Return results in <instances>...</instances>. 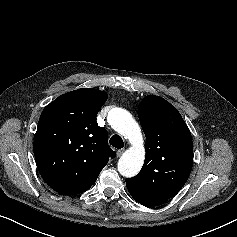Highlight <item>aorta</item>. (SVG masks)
Here are the masks:
<instances>
[{
  "instance_id": "1",
  "label": "aorta",
  "mask_w": 237,
  "mask_h": 237,
  "mask_svg": "<svg viewBox=\"0 0 237 237\" xmlns=\"http://www.w3.org/2000/svg\"><path fill=\"white\" fill-rule=\"evenodd\" d=\"M107 120L111 127L132 145L120 157L118 171L124 177H133L141 170L145 158L140 127L127 110L119 107L112 108L108 112Z\"/></svg>"
}]
</instances>
